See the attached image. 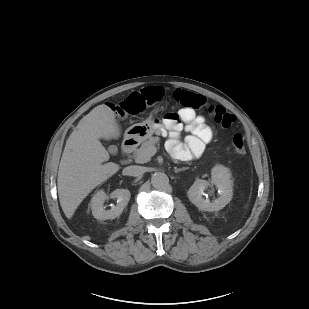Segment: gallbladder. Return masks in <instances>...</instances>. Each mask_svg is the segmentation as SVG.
I'll return each mask as SVG.
<instances>
[{
  "label": "gallbladder",
  "mask_w": 309,
  "mask_h": 309,
  "mask_svg": "<svg viewBox=\"0 0 309 309\" xmlns=\"http://www.w3.org/2000/svg\"><path fill=\"white\" fill-rule=\"evenodd\" d=\"M109 151H110L111 153H116V152H117V147L114 146V145H111V146H109Z\"/></svg>",
  "instance_id": "1"
}]
</instances>
